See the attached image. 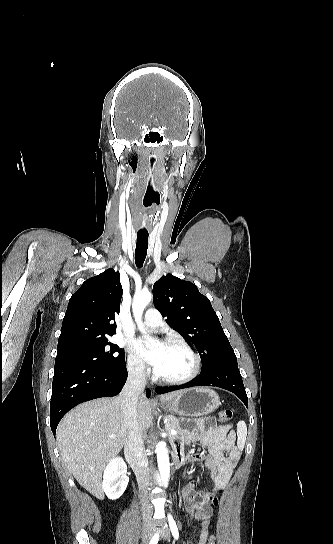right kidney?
<instances>
[{"label": "right kidney", "mask_w": 333, "mask_h": 544, "mask_svg": "<svg viewBox=\"0 0 333 544\" xmlns=\"http://www.w3.org/2000/svg\"><path fill=\"white\" fill-rule=\"evenodd\" d=\"M129 482L127 466L121 457L112 459L104 470L102 488L106 496L115 500L125 491Z\"/></svg>", "instance_id": "1"}]
</instances>
